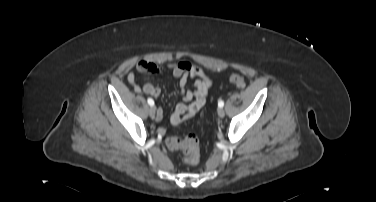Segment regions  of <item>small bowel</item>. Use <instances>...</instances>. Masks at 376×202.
Returning a JSON list of instances; mask_svg holds the SVG:
<instances>
[{"mask_svg": "<svg viewBox=\"0 0 376 202\" xmlns=\"http://www.w3.org/2000/svg\"><path fill=\"white\" fill-rule=\"evenodd\" d=\"M164 69L171 70L173 77L179 79L180 93L184 100V102L179 103L175 107V110L170 116L171 124L176 126L195 116L205 105L209 90L212 86V81L205 74L203 69L186 61L169 63L165 67L147 60H140L136 63V70L144 74H156ZM127 79L129 83L133 85L134 91L137 93L143 91L154 98L160 95V89L150 83L145 84L142 88L137 85L134 72H129ZM190 80H194L193 90L188 87ZM162 118L163 110L158 108L156 111V120L160 121Z\"/></svg>", "mask_w": 376, "mask_h": 202, "instance_id": "small-bowel-1", "label": "small bowel"}]
</instances>
